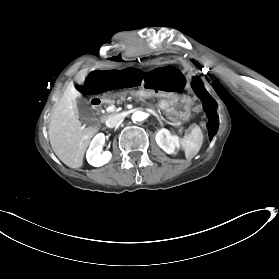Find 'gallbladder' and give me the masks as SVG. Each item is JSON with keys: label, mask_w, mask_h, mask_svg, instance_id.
I'll list each match as a JSON object with an SVG mask.
<instances>
[{"label": "gallbladder", "mask_w": 279, "mask_h": 279, "mask_svg": "<svg viewBox=\"0 0 279 279\" xmlns=\"http://www.w3.org/2000/svg\"><path fill=\"white\" fill-rule=\"evenodd\" d=\"M77 107L79 112L80 120L83 123L91 125L94 128L100 126L101 121L99 118L94 117V113L92 108L88 105V101L85 99H78L77 100Z\"/></svg>", "instance_id": "gallbladder-1"}]
</instances>
